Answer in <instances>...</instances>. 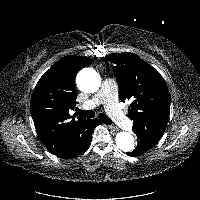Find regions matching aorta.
Returning <instances> with one entry per match:
<instances>
[{
  "mask_svg": "<svg viewBox=\"0 0 200 200\" xmlns=\"http://www.w3.org/2000/svg\"><path fill=\"white\" fill-rule=\"evenodd\" d=\"M101 84L99 74L92 68H84L77 75V86L85 93H95ZM117 147L124 151L130 152L134 149V137L128 132H119L115 138Z\"/></svg>",
  "mask_w": 200,
  "mask_h": 200,
  "instance_id": "1",
  "label": "aorta"
}]
</instances>
